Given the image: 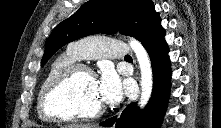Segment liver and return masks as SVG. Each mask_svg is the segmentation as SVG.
Here are the masks:
<instances>
[{"instance_id": "1", "label": "liver", "mask_w": 221, "mask_h": 128, "mask_svg": "<svg viewBox=\"0 0 221 128\" xmlns=\"http://www.w3.org/2000/svg\"><path fill=\"white\" fill-rule=\"evenodd\" d=\"M64 128H96L94 125H82V124H71L68 126H65Z\"/></svg>"}]
</instances>
